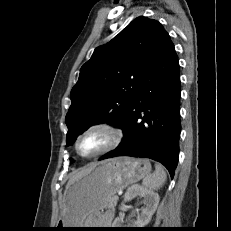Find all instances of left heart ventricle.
<instances>
[{"label":"left heart ventricle","mask_w":231,"mask_h":231,"mask_svg":"<svg viewBox=\"0 0 231 231\" xmlns=\"http://www.w3.org/2000/svg\"><path fill=\"white\" fill-rule=\"evenodd\" d=\"M111 141L110 134L97 129L85 134L79 141V151L83 155H92L106 147Z\"/></svg>","instance_id":"left-heart-ventricle-1"}]
</instances>
